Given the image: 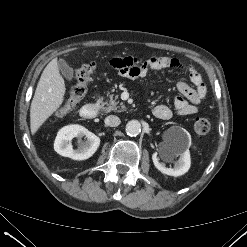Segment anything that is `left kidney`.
<instances>
[{"instance_id":"5707ae66","label":"left kidney","mask_w":247,"mask_h":247,"mask_svg":"<svg viewBox=\"0 0 247 247\" xmlns=\"http://www.w3.org/2000/svg\"><path fill=\"white\" fill-rule=\"evenodd\" d=\"M181 135L185 138L187 141V145H191V136L188 131L181 130ZM163 154L166 156L172 158L174 156H179L178 161L175 163L174 168H167L165 163L159 162L157 152L153 153L152 160L154 163V166L163 174L170 175V176H181L185 174L189 168H190V152L189 149H181V148H174L170 147L168 145H163Z\"/></svg>"}]
</instances>
